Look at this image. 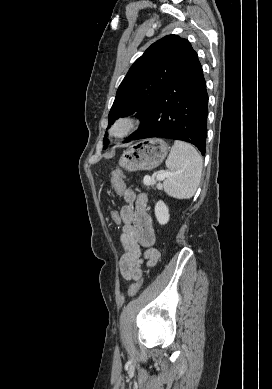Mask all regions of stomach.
Masks as SVG:
<instances>
[{
	"label": "stomach",
	"instance_id": "0dacf381",
	"mask_svg": "<svg viewBox=\"0 0 272 389\" xmlns=\"http://www.w3.org/2000/svg\"><path fill=\"white\" fill-rule=\"evenodd\" d=\"M167 143L159 138L138 142L123 152L119 165L127 171L152 170L159 166L168 153Z\"/></svg>",
	"mask_w": 272,
	"mask_h": 389
}]
</instances>
